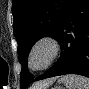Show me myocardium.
Here are the masks:
<instances>
[{
    "label": "myocardium",
    "instance_id": "myocardium-1",
    "mask_svg": "<svg viewBox=\"0 0 89 89\" xmlns=\"http://www.w3.org/2000/svg\"><path fill=\"white\" fill-rule=\"evenodd\" d=\"M42 45H46L49 47V49H50L49 58L46 61V63L44 65H42L41 67H33L32 66V55H33L34 51ZM60 49H61L60 43L54 36L43 35V36L39 37L38 39H36L34 41V43L31 45V47L28 51L27 65H28L29 69L32 71H42V70L48 69L50 66H52L54 64V62L58 58Z\"/></svg>",
    "mask_w": 89,
    "mask_h": 89
}]
</instances>
